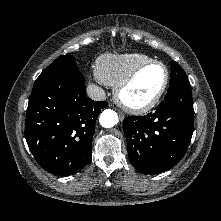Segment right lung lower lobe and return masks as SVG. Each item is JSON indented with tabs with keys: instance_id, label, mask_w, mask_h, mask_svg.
I'll list each match as a JSON object with an SVG mask.
<instances>
[{
	"instance_id": "98d812e1",
	"label": "right lung lower lobe",
	"mask_w": 221,
	"mask_h": 221,
	"mask_svg": "<svg viewBox=\"0 0 221 221\" xmlns=\"http://www.w3.org/2000/svg\"><path fill=\"white\" fill-rule=\"evenodd\" d=\"M107 102L86 97L85 82L60 79L31 95L25 121L30 151L47 172L68 176L91 159L95 123Z\"/></svg>"
}]
</instances>
